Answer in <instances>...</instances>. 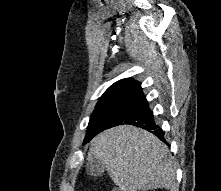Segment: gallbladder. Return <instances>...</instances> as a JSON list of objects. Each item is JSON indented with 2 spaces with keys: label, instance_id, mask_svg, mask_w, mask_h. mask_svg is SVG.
I'll list each match as a JSON object with an SVG mask.
<instances>
[{
  "label": "gallbladder",
  "instance_id": "obj_1",
  "mask_svg": "<svg viewBox=\"0 0 221 191\" xmlns=\"http://www.w3.org/2000/svg\"><path fill=\"white\" fill-rule=\"evenodd\" d=\"M105 170L104 164L99 160L93 159L87 163L86 172L90 176H101Z\"/></svg>",
  "mask_w": 221,
  "mask_h": 191
}]
</instances>
